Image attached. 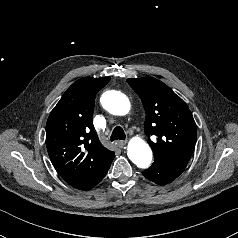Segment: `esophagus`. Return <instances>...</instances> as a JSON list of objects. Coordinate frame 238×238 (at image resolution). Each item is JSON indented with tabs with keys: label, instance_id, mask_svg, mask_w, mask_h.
I'll list each match as a JSON object with an SVG mask.
<instances>
[{
	"label": "esophagus",
	"instance_id": "esophagus-1",
	"mask_svg": "<svg viewBox=\"0 0 238 238\" xmlns=\"http://www.w3.org/2000/svg\"><path fill=\"white\" fill-rule=\"evenodd\" d=\"M126 141H124V140H119V141H117V145L119 146V147H124L125 145H126Z\"/></svg>",
	"mask_w": 238,
	"mask_h": 238
}]
</instances>
